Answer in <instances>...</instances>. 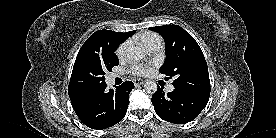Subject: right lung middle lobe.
Here are the masks:
<instances>
[{
    "mask_svg": "<svg viewBox=\"0 0 276 138\" xmlns=\"http://www.w3.org/2000/svg\"><path fill=\"white\" fill-rule=\"evenodd\" d=\"M112 49H88L76 58L70 83L81 92H88L103 86L105 72L112 71L119 60Z\"/></svg>",
    "mask_w": 276,
    "mask_h": 138,
    "instance_id": "right-lung-middle-lobe-1",
    "label": "right lung middle lobe"
}]
</instances>
